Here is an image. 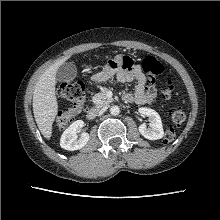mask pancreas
Wrapping results in <instances>:
<instances>
[{
	"label": "pancreas",
	"instance_id": "1",
	"mask_svg": "<svg viewBox=\"0 0 220 220\" xmlns=\"http://www.w3.org/2000/svg\"><path fill=\"white\" fill-rule=\"evenodd\" d=\"M106 90L103 89L100 93L96 94L92 98V102L97 106V107H103L107 106L109 103L113 101L112 98H108L105 94Z\"/></svg>",
	"mask_w": 220,
	"mask_h": 220
}]
</instances>
